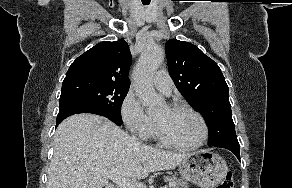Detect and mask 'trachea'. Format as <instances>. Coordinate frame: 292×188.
<instances>
[{
	"mask_svg": "<svg viewBox=\"0 0 292 188\" xmlns=\"http://www.w3.org/2000/svg\"><path fill=\"white\" fill-rule=\"evenodd\" d=\"M144 5H149V2H143Z\"/></svg>",
	"mask_w": 292,
	"mask_h": 188,
	"instance_id": "obj_1",
	"label": "trachea"
}]
</instances>
